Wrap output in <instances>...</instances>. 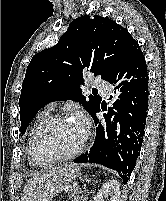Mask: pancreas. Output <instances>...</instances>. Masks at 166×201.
<instances>
[{"label": "pancreas", "instance_id": "1", "mask_svg": "<svg viewBox=\"0 0 166 201\" xmlns=\"http://www.w3.org/2000/svg\"><path fill=\"white\" fill-rule=\"evenodd\" d=\"M76 190L74 189V192L71 194V198H73L72 201H77V197L75 196Z\"/></svg>", "mask_w": 166, "mask_h": 201}]
</instances>
